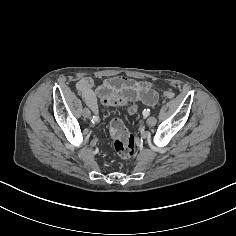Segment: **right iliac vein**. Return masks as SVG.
Segmentation results:
<instances>
[{
    "label": "right iliac vein",
    "instance_id": "obj_1",
    "mask_svg": "<svg viewBox=\"0 0 236 236\" xmlns=\"http://www.w3.org/2000/svg\"><path fill=\"white\" fill-rule=\"evenodd\" d=\"M82 115L85 117V118H89L90 115H91V112L88 108H83L82 110Z\"/></svg>",
    "mask_w": 236,
    "mask_h": 236
}]
</instances>
